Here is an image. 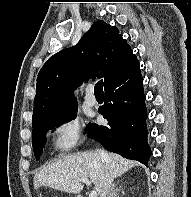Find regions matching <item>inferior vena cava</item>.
<instances>
[{
  "label": "inferior vena cava",
  "instance_id": "obj_1",
  "mask_svg": "<svg viewBox=\"0 0 191 197\" xmlns=\"http://www.w3.org/2000/svg\"><path fill=\"white\" fill-rule=\"evenodd\" d=\"M98 154L102 160V162L104 163H108L109 161V155L105 150H98ZM111 185H112V178L110 177V175H106L104 183H103V187L100 193V197H106L107 195L109 196L110 190H111Z\"/></svg>",
  "mask_w": 191,
  "mask_h": 197
}]
</instances>
